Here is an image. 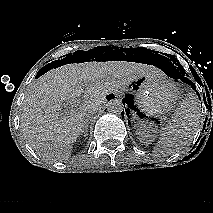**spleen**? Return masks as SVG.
Here are the masks:
<instances>
[{"label": "spleen", "instance_id": "obj_1", "mask_svg": "<svg viewBox=\"0 0 213 213\" xmlns=\"http://www.w3.org/2000/svg\"><path fill=\"white\" fill-rule=\"evenodd\" d=\"M201 108L197 95L189 92L175 110L171 121L161 129L158 149L174 152L186 146L201 126Z\"/></svg>", "mask_w": 213, "mask_h": 213}]
</instances>
